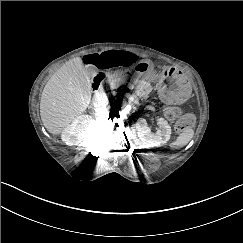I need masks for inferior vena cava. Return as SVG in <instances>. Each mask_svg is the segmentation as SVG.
<instances>
[{
	"instance_id": "inferior-vena-cava-1",
	"label": "inferior vena cava",
	"mask_w": 243,
	"mask_h": 243,
	"mask_svg": "<svg viewBox=\"0 0 243 243\" xmlns=\"http://www.w3.org/2000/svg\"><path fill=\"white\" fill-rule=\"evenodd\" d=\"M92 102L94 105L98 106L105 105L108 102L107 95L103 92H97L94 94Z\"/></svg>"
}]
</instances>
